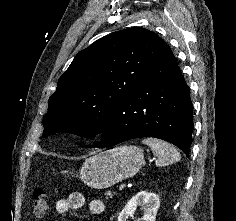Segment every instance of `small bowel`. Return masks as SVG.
Here are the masks:
<instances>
[{
    "label": "small bowel",
    "mask_w": 236,
    "mask_h": 221,
    "mask_svg": "<svg viewBox=\"0 0 236 221\" xmlns=\"http://www.w3.org/2000/svg\"><path fill=\"white\" fill-rule=\"evenodd\" d=\"M85 197L81 193H72L66 198H60L55 203V211L58 214L67 213L70 210L79 209L85 204ZM105 206L101 200H92L89 203L90 214L94 217L104 212Z\"/></svg>",
    "instance_id": "small-bowel-1"
}]
</instances>
